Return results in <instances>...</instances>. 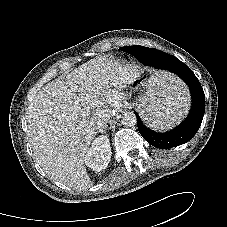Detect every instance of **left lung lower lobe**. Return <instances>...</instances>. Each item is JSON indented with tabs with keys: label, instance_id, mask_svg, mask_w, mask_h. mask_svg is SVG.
<instances>
[{
	"label": "left lung lower lobe",
	"instance_id": "obj_1",
	"mask_svg": "<svg viewBox=\"0 0 227 227\" xmlns=\"http://www.w3.org/2000/svg\"><path fill=\"white\" fill-rule=\"evenodd\" d=\"M128 52L144 65L177 74L187 83L192 95V106L188 117L178 127L167 133H157L148 129L142 124L139 115L134 112L140 134L152 146L161 149L188 142L198 131L205 112V95L197 77L183 62L157 49L136 45L131 46Z\"/></svg>",
	"mask_w": 227,
	"mask_h": 227
}]
</instances>
